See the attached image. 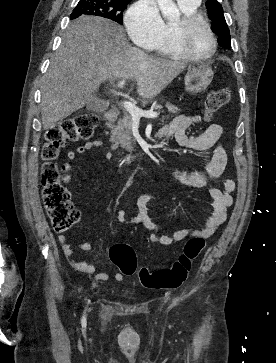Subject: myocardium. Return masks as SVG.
<instances>
[{
  "label": "myocardium",
  "instance_id": "obj_1",
  "mask_svg": "<svg viewBox=\"0 0 276 363\" xmlns=\"http://www.w3.org/2000/svg\"><path fill=\"white\" fill-rule=\"evenodd\" d=\"M203 25L212 42L211 50L206 55H196L192 53L187 45H186V38L190 31L197 25ZM173 39L175 46L178 48V50L182 53L183 57L196 61V62H204L209 59H211L217 50V39L215 37V34L213 32V29L208 22V20L202 16L200 13H192L189 15H183L175 24L173 28Z\"/></svg>",
  "mask_w": 276,
  "mask_h": 363
}]
</instances>
